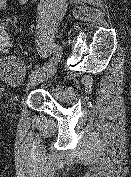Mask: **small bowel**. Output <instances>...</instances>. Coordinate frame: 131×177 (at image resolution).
<instances>
[{
	"label": "small bowel",
	"instance_id": "1",
	"mask_svg": "<svg viewBox=\"0 0 131 177\" xmlns=\"http://www.w3.org/2000/svg\"><path fill=\"white\" fill-rule=\"evenodd\" d=\"M20 4L26 5L29 0H18ZM8 3V0H0V11H2Z\"/></svg>",
	"mask_w": 131,
	"mask_h": 177
}]
</instances>
